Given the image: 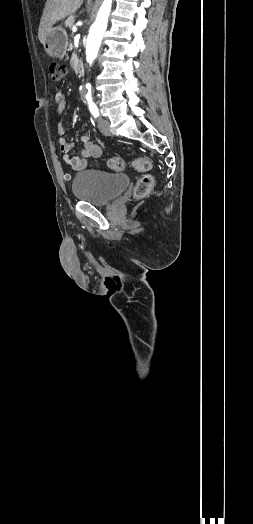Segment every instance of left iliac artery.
Masks as SVG:
<instances>
[{"label": "left iliac artery", "mask_w": 253, "mask_h": 524, "mask_svg": "<svg viewBox=\"0 0 253 524\" xmlns=\"http://www.w3.org/2000/svg\"><path fill=\"white\" fill-rule=\"evenodd\" d=\"M89 110L95 118L99 116V111L95 103L93 102L89 103Z\"/></svg>", "instance_id": "obj_1"}]
</instances>
